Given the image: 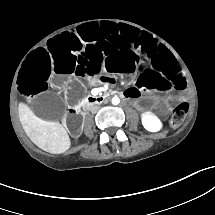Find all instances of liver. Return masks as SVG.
<instances>
[{
    "mask_svg": "<svg viewBox=\"0 0 215 215\" xmlns=\"http://www.w3.org/2000/svg\"><path fill=\"white\" fill-rule=\"evenodd\" d=\"M18 112L25 133L39 148L54 154L69 149L70 138L62 124L40 119L24 103L19 104Z\"/></svg>",
    "mask_w": 215,
    "mask_h": 215,
    "instance_id": "liver-1",
    "label": "liver"
}]
</instances>
